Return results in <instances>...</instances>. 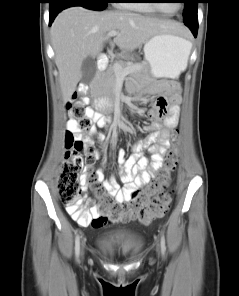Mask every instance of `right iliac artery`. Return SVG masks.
Returning a JSON list of instances; mask_svg holds the SVG:
<instances>
[{
    "mask_svg": "<svg viewBox=\"0 0 239 296\" xmlns=\"http://www.w3.org/2000/svg\"><path fill=\"white\" fill-rule=\"evenodd\" d=\"M79 255H80V236H79V234H77L76 238H75V257H76V260H78Z\"/></svg>",
    "mask_w": 239,
    "mask_h": 296,
    "instance_id": "1",
    "label": "right iliac artery"
}]
</instances>
